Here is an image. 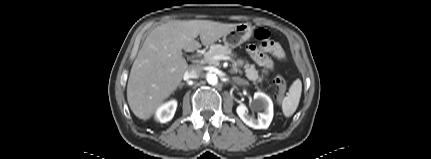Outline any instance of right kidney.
Masks as SVG:
<instances>
[{"instance_id":"right-kidney-1","label":"right kidney","mask_w":431,"mask_h":159,"mask_svg":"<svg viewBox=\"0 0 431 159\" xmlns=\"http://www.w3.org/2000/svg\"><path fill=\"white\" fill-rule=\"evenodd\" d=\"M176 108L177 102L175 100L163 104L156 112V119L161 123L170 121L175 114Z\"/></svg>"}]
</instances>
